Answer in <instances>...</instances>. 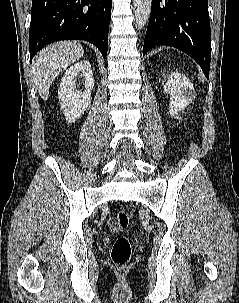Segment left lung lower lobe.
Masks as SVG:
<instances>
[{"label": "left lung lower lobe", "mask_w": 239, "mask_h": 303, "mask_svg": "<svg viewBox=\"0 0 239 303\" xmlns=\"http://www.w3.org/2000/svg\"><path fill=\"white\" fill-rule=\"evenodd\" d=\"M156 45L192 57L209 78L211 33L207 0H152L143 55Z\"/></svg>", "instance_id": "1"}]
</instances>
